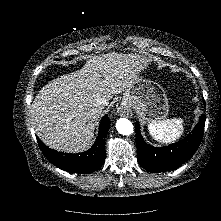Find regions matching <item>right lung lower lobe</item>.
I'll use <instances>...</instances> for the list:
<instances>
[{
    "label": "right lung lower lobe",
    "instance_id": "98d812e1",
    "mask_svg": "<svg viewBox=\"0 0 221 221\" xmlns=\"http://www.w3.org/2000/svg\"><path fill=\"white\" fill-rule=\"evenodd\" d=\"M109 127L110 120L105 115L101 120L94 145L88 151L78 154L57 152L45 146L38 137L37 141L43 154L56 167L73 173H92L100 168L105 161V138Z\"/></svg>",
    "mask_w": 221,
    "mask_h": 221
}]
</instances>
